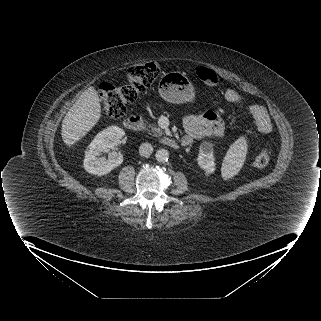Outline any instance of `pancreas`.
<instances>
[{"label":"pancreas","mask_w":321,"mask_h":321,"mask_svg":"<svg viewBox=\"0 0 321 321\" xmlns=\"http://www.w3.org/2000/svg\"><path fill=\"white\" fill-rule=\"evenodd\" d=\"M148 131L157 133L159 135H161L163 133V131L159 127H156L155 125H149L148 126Z\"/></svg>","instance_id":"1"}]
</instances>
